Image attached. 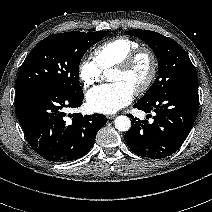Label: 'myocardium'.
I'll use <instances>...</instances> for the list:
<instances>
[{
  "mask_svg": "<svg viewBox=\"0 0 212 212\" xmlns=\"http://www.w3.org/2000/svg\"><path fill=\"white\" fill-rule=\"evenodd\" d=\"M142 58H146L148 60L149 70L145 80L134 89V92L137 94L146 92L156 79L158 72V61L154 52L147 48H137L132 51L123 61L113 67V69L129 72Z\"/></svg>",
  "mask_w": 212,
  "mask_h": 212,
  "instance_id": "obj_1",
  "label": "myocardium"
}]
</instances>
